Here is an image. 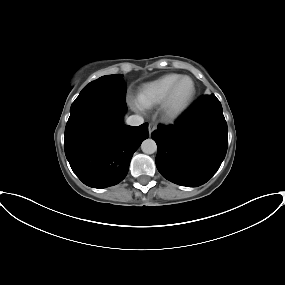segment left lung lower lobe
Here are the masks:
<instances>
[{
  "label": "left lung lower lobe",
  "instance_id": "left-lung-lower-lobe-1",
  "mask_svg": "<svg viewBox=\"0 0 285 285\" xmlns=\"http://www.w3.org/2000/svg\"><path fill=\"white\" fill-rule=\"evenodd\" d=\"M156 166L167 180L182 186L206 183L219 169L228 145V128L214 94L200 97L176 122L151 134Z\"/></svg>",
  "mask_w": 285,
  "mask_h": 285
}]
</instances>
